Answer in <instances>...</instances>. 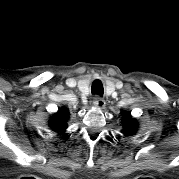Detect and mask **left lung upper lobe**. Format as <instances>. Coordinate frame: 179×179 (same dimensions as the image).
I'll return each mask as SVG.
<instances>
[{
    "label": "left lung upper lobe",
    "instance_id": "1",
    "mask_svg": "<svg viewBox=\"0 0 179 179\" xmlns=\"http://www.w3.org/2000/svg\"><path fill=\"white\" fill-rule=\"evenodd\" d=\"M129 117H130V113L123 114L122 123L125 124L123 133L126 135H133L137 131V122Z\"/></svg>",
    "mask_w": 179,
    "mask_h": 179
}]
</instances>
